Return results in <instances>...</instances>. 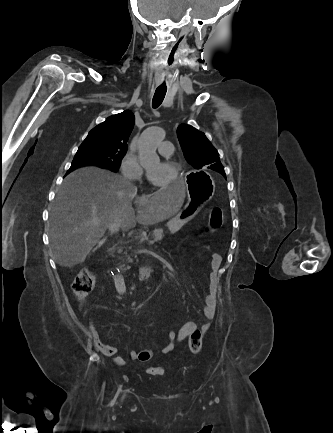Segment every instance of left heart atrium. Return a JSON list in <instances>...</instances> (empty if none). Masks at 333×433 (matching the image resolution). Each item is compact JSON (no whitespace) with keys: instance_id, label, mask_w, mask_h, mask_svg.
I'll use <instances>...</instances> for the list:
<instances>
[{"instance_id":"obj_1","label":"left heart atrium","mask_w":333,"mask_h":433,"mask_svg":"<svg viewBox=\"0 0 333 433\" xmlns=\"http://www.w3.org/2000/svg\"><path fill=\"white\" fill-rule=\"evenodd\" d=\"M147 173H148L149 178L154 180V177L156 174L155 171L154 170H148Z\"/></svg>"}]
</instances>
